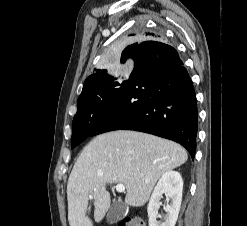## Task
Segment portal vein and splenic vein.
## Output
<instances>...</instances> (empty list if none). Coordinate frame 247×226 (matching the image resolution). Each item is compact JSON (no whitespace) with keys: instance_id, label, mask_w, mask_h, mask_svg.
<instances>
[{"instance_id":"portal-vein-and-splenic-vein-1","label":"portal vein and splenic vein","mask_w":247,"mask_h":226,"mask_svg":"<svg viewBox=\"0 0 247 226\" xmlns=\"http://www.w3.org/2000/svg\"><path fill=\"white\" fill-rule=\"evenodd\" d=\"M116 191L119 192V193L124 192L125 191V186L123 184L116 185ZM89 198L92 199L93 196L89 195Z\"/></svg>"}]
</instances>
